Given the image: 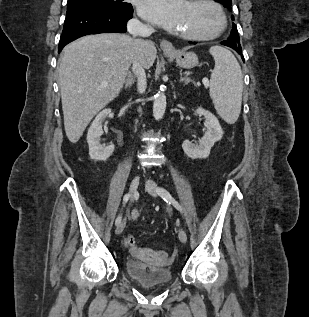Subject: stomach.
<instances>
[{
	"mask_svg": "<svg viewBox=\"0 0 309 317\" xmlns=\"http://www.w3.org/2000/svg\"><path fill=\"white\" fill-rule=\"evenodd\" d=\"M166 55L172 56L176 60V64L181 68L190 69L198 64V57L193 52L181 50L173 54L166 53Z\"/></svg>",
	"mask_w": 309,
	"mask_h": 317,
	"instance_id": "1",
	"label": "stomach"
}]
</instances>
